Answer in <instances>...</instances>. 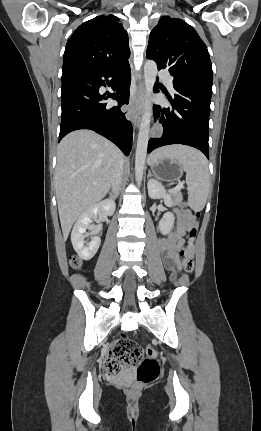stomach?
<instances>
[{
  "instance_id": "0dacf381",
  "label": "stomach",
  "mask_w": 261,
  "mask_h": 431,
  "mask_svg": "<svg viewBox=\"0 0 261 431\" xmlns=\"http://www.w3.org/2000/svg\"><path fill=\"white\" fill-rule=\"evenodd\" d=\"M150 165L154 175L162 181H176L179 180L183 174V169L180 164L168 158L154 161Z\"/></svg>"
}]
</instances>
